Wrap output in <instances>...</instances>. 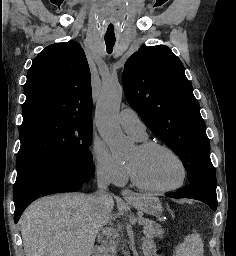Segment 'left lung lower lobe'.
<instances>
[{
    "label": "left lung lower lobe",
    "instance_id": "1",
    "mask_svg": "<svg viewBox=\"0 0 236 256\" xmlns=\"http://www.w3.org/2000/svg\"><path fill=\"white\" fill-rule=\"evenodd\" d=\"M171 198H190L206 203L213 211L217 209L216 186L206 183H194L183 187L178 192L166 195Z\"/></svg>",
    "mask_w": 236,
    "mask_h": 256
}]
</instances>
